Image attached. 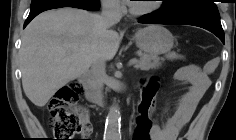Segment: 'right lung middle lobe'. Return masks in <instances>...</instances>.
Listing matches in <instances>:
<instances>
[{
	"label": "right lung middle lobe",
	"instance_id": "right-lung-middle-lobe-1",
	"mask_svg": "<svg viewBox=\"0 0 236 140\" xmlns=\"http://www.w3.org/2000/svg\"><path fill=\"white\" fill-rule=\"evenodd\" d=\"M67 1L81 3L91 8L100 7L98 0H32L31 9L44 6V5H49L53 3H59V2H67Z\"/></svg>",
	"mask_w": 236,
	"mask_h": 140
}]
</instances>
